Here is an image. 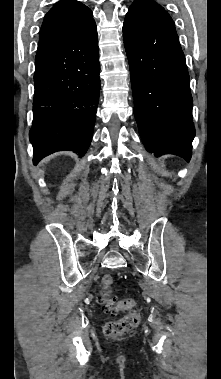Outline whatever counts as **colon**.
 Instances as JSON below:
<instances>
[{
	"instance_id": "5ec220e1",
	"label": "colon",
	"mask_w": 221,
	"mask_h": 379,
	"mask_svg": "<svg viewBox=\"0 0 221 379\" xmlns=\"http://www.w3.org/2000/svg\"><path fill=\"white\" fill-rule=\"evenodd\" d=\"M101 286V301L108 312L116 313L121 310H129V312L122 318L109 321L105 324V335L108 337H118L135 328L139 321V314L132 309L134 306V301L127 299L118 302L112 296L113 279L110 275H105L102 278Z\"/></svg>"
}]
</instances>
